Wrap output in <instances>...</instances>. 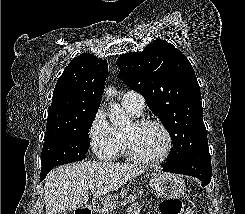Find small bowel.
Instances as JSON below:
<instances>
[{
	"label": "small bowel",
	"instance_id": "1",
	"mask_svg": "<svg viewBox=\"0 0 245 214\" xmlns=\"http://www.w3.org/2000/svg\"><path fill=\"white\" fill-rule=\"evenodd\" d=\"M127 214H140V206L137 204L130 206Z\"/></svg>",
	"mask_w": 245,
	"mask_h": 214
}]
</instances>
